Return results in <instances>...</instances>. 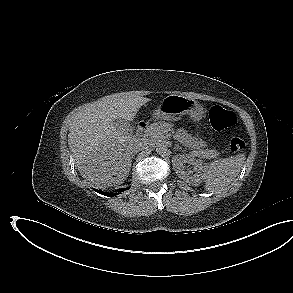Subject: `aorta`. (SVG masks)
Returning a JSON list of instances; mask_svg holds the SVG:
<instances>
[{"mask_svg":"<svg viewBox=\"0 0 293 293\" xmlns=\"http://www.w3.org/2000/svg\"><path fill=\"white\" fill-rule=\"evenodd\" d=\"M168 147L165 143L161 142L156 145V152L160 155L167 153Z\"/></svg>","mask_w":293,"mask_h":293,"instance_id":"aorta-1","label":"aorta"}]
</instances>
